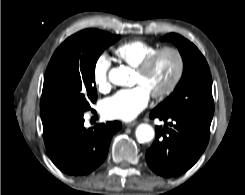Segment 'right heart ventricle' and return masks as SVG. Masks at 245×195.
Instances as JSON below:
<instances>
[{
  "mask_svg": "<svg viewBox=\"0 0 245 195\" xmlns=\"http://www.w3.org/2000/svg\"><path fill=\"white\" fill-rule=\"evenodd\" d=\"M158 47L142 40H132L120 44L114 54L125 64L136 68L144 59L154 53Z\"/></svg>",
  "mask_w": 245,
  "mask_h": 195,
  "instance_id": "right-heart-ventricle-1",
  "label": "right heart ventricle"
}]
</instances>
